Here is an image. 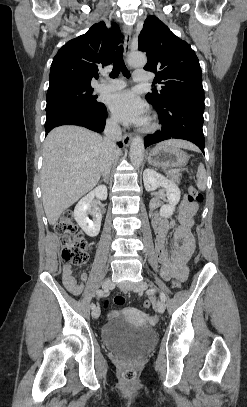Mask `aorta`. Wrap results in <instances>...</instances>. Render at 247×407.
<instances>
[{
    "instance_id": "obj_1",
    "label": "aorta",
    "mask_w": 247,
    "mask_h": 407,
    "mask_svg": "<svg viewBox=\"0 0 247 407\" xmlns=\"http://www.w3.org/2000/svg\"><path fill=\"white\" fill-rule=\"evenodd\" d=\"M128 63L133 67H143L147 63V58L144 53L134 52L128 57ZM144 158V142L140 136H136L132 139L130 145V160L131 163L139 167L142 164Z\"/></svg>"
}]
</instances>
